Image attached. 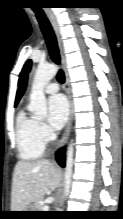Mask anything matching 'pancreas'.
Wrapping results in <instances>:
<instances>
[{"label":"pancreas","mask_w":123,"mask_h":219,"mask_svg":"<svg viewBox=\"0 0 123 219\" xmlns=\"http://www.w3.org/2000/svg\"><path fill=\"white\" fill-rule=\"evenodd\" d=\"M33 206L36 211H43V205L41 204L40 200L35 201Z\"/></svg>","instance_id":"pancreas-1"}]
</instances>
